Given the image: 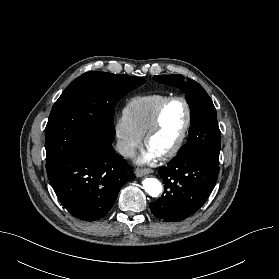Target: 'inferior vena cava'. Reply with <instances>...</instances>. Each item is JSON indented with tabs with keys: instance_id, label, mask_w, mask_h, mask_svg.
I'll return each instance as SVG.
<instances>
[{
	"instance_id": "obj_1",
	"label": "inferior vena cava",
	"mask_w": 279,
	"mask_h": 279,
	"mask_svg": "<svg viewBox=\"0 0 279 279\" xmlns=\"http://www.w3.org/2000/svg\"><path fill=\"white\" fill-rule=\"evenodd\" d=\"M115 149L122 156L131 157L135 155V149L122 140L117 141Z\"/></svg>"
}]
</instances>
